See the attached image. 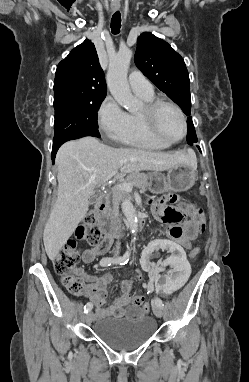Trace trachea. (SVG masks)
Wrapping results in <instances>:
<instances>
[{"label": "trachea", "mask_w": 249, "mask_h": 382, "mask_svg": "<svg viewBox=\"0 0 249 382\" xmlns=\"http://www.w3.org/2000/svg\"><path fill=\"white\" fill-rule=\"evenodd\" d=\"M121 28V15L120 12L117 11L113 14L111 19V30L113 34H118Z\"/></svg>", "instance_id": "trachea-1"}]
</instances>
